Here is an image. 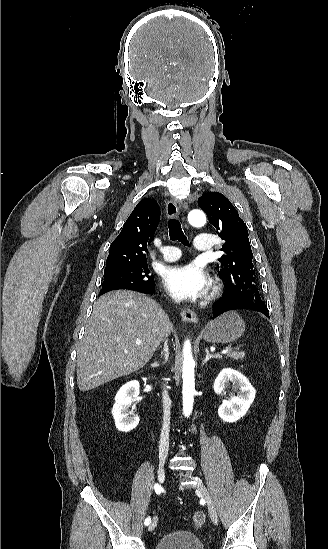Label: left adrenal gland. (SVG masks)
Here are the masks:
<instances>
[{"label":"left adrenal gland","instance_id":"obj_1","mask_svg":"<svg viewBox=\"0 0 328 549\" xmlns=\"http://www.w3.org/2000/svg\"><path fill=\"white\" fill-rule=\"evenodd\" d=\"M205 353H206V359H204L203 365H205V363H207V361H209V359H216V357H214V355H210L208 349H205Z\"/></svg>","mask_w":328,"mask_h":549}]
</instances>
